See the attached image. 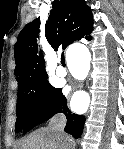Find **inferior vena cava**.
Masks as SVG:
<instances>
[{"label": "inferior vena cava", "instance_id": "obj_1", "mask_svg": "<svg viewBox=\"0 0 124 149\" xmlns=\"http://www.w3.org/2000/svg\"><path fill=\"white\" fill-rule=\"evenodd\" d=\"M65 125H66L65 116L59 114L53 119V122L50 127L56 133V137H59L60 139L63 140L62 145L64 146H62V149H71L72 139H69V136H65V134H63V129Z\"/></svg>", "mask_w": 124, "mask_h": 149}]
</instances>
